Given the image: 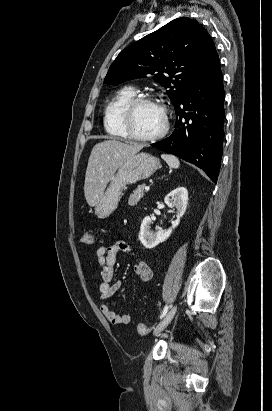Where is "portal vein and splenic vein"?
Here are the masks:
<instances>
[{
  "label": "portal vein and splenic vein",
  "instance_id": "1",
  "mask_svg": "<svg viewBox=\"0 0 272 411\" xmlns=\"http://www.w3.org/2000/svg\"><path fill=\"white\" fill-rule=\"evenodd\" d=\"M150 187L149 186H145V190L149 191Z\"/></svg>",
  "mask_w": 272,
  "mask_h": 411
}]
</instances>
